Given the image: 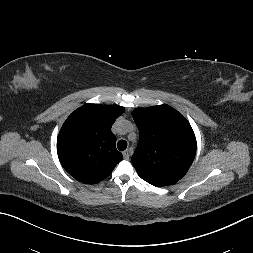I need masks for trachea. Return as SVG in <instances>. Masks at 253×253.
<instances>
[{
  "mask_svg": "<svg viewBox=\"0 0 253 253\" xmlns=\"http://www.w3.org/2000/svg\"><path fill=\"white\" fill-rule=\"evenodd\" d=\"M117 147L120 151H123L127 148V142L125 140H119L117 143Z\"/></svg>",
  "mask_w": 253,
  "mask_h": 253,
  "instance_id": "trachea-1",
  "label": "trachea"
}]
</instances>
